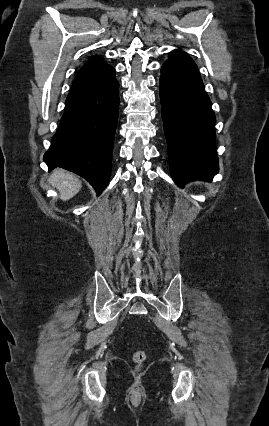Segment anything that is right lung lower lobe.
<instances>
[{
    "mask_svg": "<svg viewBox=\"0 0 269 426\" xmlns=\"http://www.w3.org/2000/svg\"><path fill=\"white\" fill-rule=\"evenodd\" d=\"M118 88L110 65L78 74L66 98L60 126L44 155L49 170L61 167L82 176L98 196L111 174Z\"/></svg>",
    "mask_w": 269,
    "mask_h": 426,
    "instance_id": "right-lung-lower-lobe-1",
    "label": "right lung lower lobe"
}]
</instances>
